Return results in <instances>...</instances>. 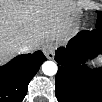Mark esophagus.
Masks as SVG:
<instances>
[{
	"instance_id": "1",
	"label": "esophagus",
	"mask_w": 102,
	"mask_h": 102,
	"mask_svg": "<svg viewBox=\"0 0 102 102\" xmlns=\"http://www.w3.org/2000/svg\"><path fill=\"white\" fill-rule=\"evenodd\" d=\"M43 52L48 59L54 58V48L51 45H45Z\"/></svg>"
}]
</instances>
